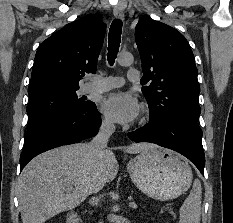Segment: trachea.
<instances>
[{
	"instance_id": "3493384b",
	"label": "trachea",
	"mask_w": 233,
	"mask_h": 223,
	"mask_svg": "<svg viewBox=\"0 0 233 223\" xmlns=\"http://www.w3.org/2000/svg\"><path fill=\"white\" fill-rule=\"evenodd\" d=\"M122 33V22L121 20H113L109 29L108 36V53L107 59L110 65H113L117 56Z\"/></svg>"
}]
</instances>
